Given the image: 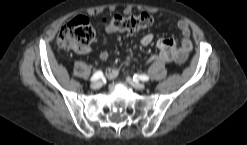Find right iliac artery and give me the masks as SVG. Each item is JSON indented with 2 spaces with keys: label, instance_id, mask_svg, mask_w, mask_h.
Returning <instances> with one entry per match:
<instances>
[{
  "label": "right iliac artery",
  "instance_id": "1",
  "mask_svg": "<svg viewBox=\"0 0 247 145\" xmlns=\"http://www.w3.org/2000/svg\"><path fill=\"white\" fill-rule=\"evenodd\" d=\"M102 77H103V72L99 70L93 74V76L91 77V81H96Z\"/></svg>",
  "mask_w": 247,
  "mask_h": 145
}]
</instances>
